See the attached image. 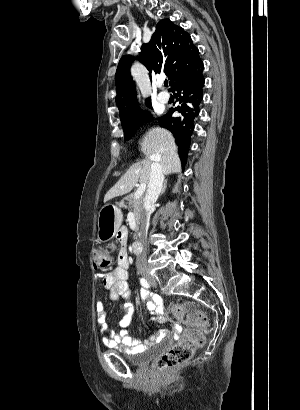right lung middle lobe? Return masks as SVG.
I'll return each mask as SVG.
<instances>
[{
    "label": "right lung middle lobe",
    "instance_id": "1",
    "mask_svg": "<svg viewBox=\"0 0 300 410\" xmlns=\"http://www.w3.org/2000/svg\"><path fill=\"white\" fill-rule=\"evenodd\" d=\"M147 107L151 108V103ZM151 119L152 115L148 111L140 110L134 118L122 123L125 140H129L142 124Z\"/></svg>",
    "mask_w": 300,
    "mask_h": 410
}]
</instances>
